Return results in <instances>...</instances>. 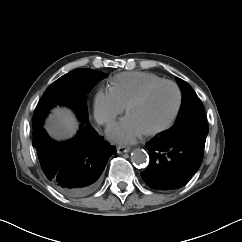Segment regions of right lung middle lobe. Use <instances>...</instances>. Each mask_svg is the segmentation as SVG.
Listing matches in <instances>:
<instances>
[{
  "mask_svg": "<svg viewBox=\"0 0 242 242\" xmlns=\"http://www.w3.org/2000/svg\"><path fill=\"white\" fill-rule=\"evenodd\" d=\"M103 78L102 72L86 68L74 69L60 77L46 89L38 102L33 126L42 124L49 110L55 105L68 106L74 110L80 121H87L86 94Z\"/></svg>",
  "mask_w": 242,
  "mask_h": 242,
  "instance_id": "dd1d6c3e",
  "label": "right lung middle lobe"
}]
</instances>
